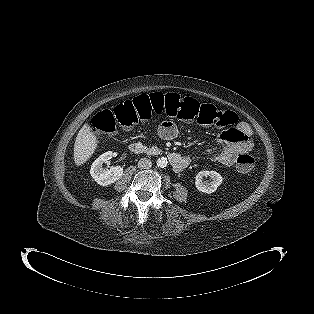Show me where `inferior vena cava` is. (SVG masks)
Returning a JSON list of instances; mask_svg holds the SVG:
<instances>
[{
	"mask_svg": "<svg viewBox=\"0 0 314 314\" xmlns=\"http://www.w3.org/2000/svg\"><path fill=\"white\" fill-rule=\"evenodd\" d=\"M152 166V162L148 158H141L138 162V168L140 169H149Z\"/></svg>",
	"mask_w": 314,
	"mask_h": 314,
	"instance_id": "inferior-vena-cava-1",
	"label": "inferior vena cava"
}]
</instances>
